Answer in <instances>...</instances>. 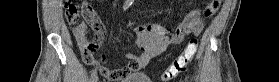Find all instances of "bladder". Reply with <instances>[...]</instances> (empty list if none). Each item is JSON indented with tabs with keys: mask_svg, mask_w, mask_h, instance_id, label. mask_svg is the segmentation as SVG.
<instances>
[{
	"mask_svg": "<svg viewBox=\"0 0 279 82\" xmlns=\"http://www.w3.org/2000/svg\"><path fill=\"white\" fill-rule=\"evenodd\" d=\"M116 82H150V80L146 73L134 72L128 74L122 79L117 80Z\"/></svg>",
	"mask_w": 279,
	"mask_h": 82,
	"instance_id": "obj_1",
	"label": "bladder"
}]
</instances>
